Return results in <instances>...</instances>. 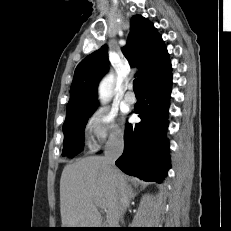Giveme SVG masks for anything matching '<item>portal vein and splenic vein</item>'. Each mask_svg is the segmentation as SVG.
<instances>
[{
  "label": "portal vein and splenic vein",
  "instance_id": "portal-vein-and-splenic-vein-1",
  "mask_svg": "<svg viewBox=\"0 0 231 231\" xmlns=\"http://www.w3.org/2000/svg\"><path fill=\"white\" fill-rule=\"evenodd\" d=\"M94 202L98 207L103 208V205H102V203H101V201L99 199L95 198Z\"/></svg>",
  "mask_w": 231,
  "mask_h": 231
}]
</instances>
